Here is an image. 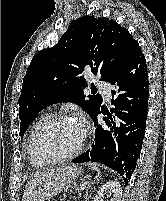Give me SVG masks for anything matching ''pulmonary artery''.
Returning <instances> with one entry per match:
<instances>
[{
	"mask_svg": "<svg viewBox=\"0 0 166 201\" xmlns=\"http://www.w3.org/2000/svg\"><path fill=\"white\" fill-rule=\"evenodd\" d=\"M98 89L100 93L104 96V98L109 99L110 98V87L107 83L99 82L97 83Z\"/></svg>",
	"mask_w": 166,
	"mask_h": 201,
	"instance_id": "obj_1",
	"label": "pulmonary artery"
}]
</instances>
